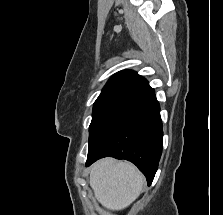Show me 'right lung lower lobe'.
Listing matches in <instances>:
<instances>
[{"instance_id": "obj_1", "label": "right lung lower lobe", "mask_w": 223, "mask_h": 215, "mask_svg": "<svg viewBox=\"0 0 223 215\" xmlns=\"http://www.w3.org/2000/svg\"><path fill=\"white\" fill-rule=\"evenodd\" d=\"M162 139L160 106L152 94L122 118L88 153L86 166L107 156L125 159L139 168L150 185L161 157Z\"/></svg>"}]
</instances>
